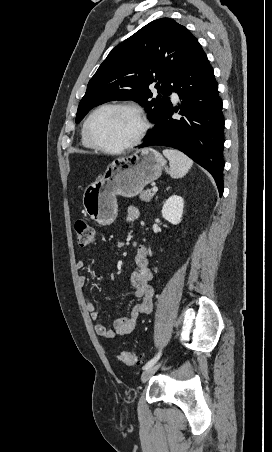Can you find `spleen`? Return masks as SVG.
<instances>
[{
    "label": "spleen",
    "instance_id": "3e777b00",
    "mask_svg": "<svg viewBox=\"0 0 272 452\" xmlns=\"http://www.w3.org/2000/svg\"><path fill=\"white\" fill-rule=\"evenodd\" d=\"M163 155L169 160V173L174 179L185 176L193 165V161L178 150L164 149Z\"/></svg>",
    "mask_w": 272,
    "mask_h": 452
}]
</instances>
